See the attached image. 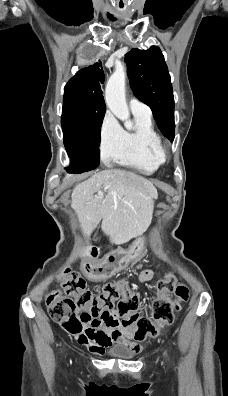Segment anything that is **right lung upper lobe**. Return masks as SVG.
Listing matches in <instances>:
<instances>
[{"instance_id": "cb5924a9", "label": "right lung upper lobe", "mask_w": 228, "mask_h": 396, "mask_svg": "<svg viewBox=\"0 0 228 396\" xmlns=\"http://www.w3.org/2000/svg\"><path fill=\"white\" fill-rule=\"evenodd\" d=\"M105 76L102 63L98 62L79 70L64 88V98L86 111L105 110L100 84Z\"/></svg>"}]
</instances>
